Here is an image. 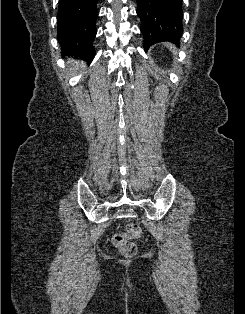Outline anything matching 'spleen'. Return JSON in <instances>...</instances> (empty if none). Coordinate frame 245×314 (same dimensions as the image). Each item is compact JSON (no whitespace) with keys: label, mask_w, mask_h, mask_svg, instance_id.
I'll use <instances>...</instances> for the list:
<instances>
[{"label":"spleen","mask_w":245,"mask_h":314,"mask_svg":"<svg viewBox=\"0 0 245 314\" xmlns=\"http://www.w3.org/2000/svg\"><path fill=\"white\" fill-rule=\"evenodd\" d=\"M166 46H171V45H169V44H166ZM173 49H174V52H175V47L174 46H171Z\"/></svg>","instance_id":"obj_1"}]
</instances>
